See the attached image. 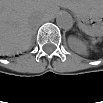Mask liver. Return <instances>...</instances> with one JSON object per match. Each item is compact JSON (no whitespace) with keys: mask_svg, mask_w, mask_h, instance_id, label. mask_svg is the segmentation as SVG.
I'll list each match as a JSON object with an SVG mask.
<instances>
[{"mask_svg":"<svg viewBox=\"0 0 103 103\" xmlns=\"http://www.w3.org/2000/svg\"><path fill=\"white\" fill-rule=\"evenodd\" d=\"M73 1L2 0L0 4L1 53L13 55L27 50L32 41V23L39 17L52 18L59 7L72 8Z\"/></svg>","mask_w":103,"mask_h":103,"instance_id":"1","label":"liver"}]
</instances>
